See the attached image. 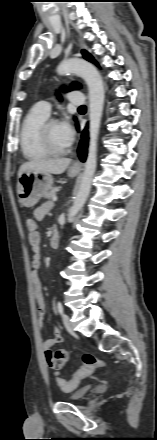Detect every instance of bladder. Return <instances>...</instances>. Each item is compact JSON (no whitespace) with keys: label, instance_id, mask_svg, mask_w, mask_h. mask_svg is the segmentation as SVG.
Segmentation results:
<instances>
[{"label":"bladder","instance_id":"31cf9c89","mask_svg":"<svg viewBox=\"0 0 157 440\" xmlns=\"http://www.w3.org/2000/svg\"><path fill=\"white\" fill-rule=\"evenodd\" d=\"M90 392V387H83L77 389L66 396V400L69 402H79L85 399Z\"/></svg>","mask_w":157,"mask_h":440}]
</instances>
